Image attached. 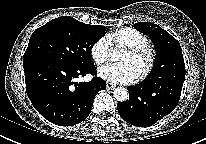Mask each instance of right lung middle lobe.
<instances>
[{"label":"right lung middle lobe","instance_id":"dd1d6c3e","mask_svg":"<svg viewBox=\"0 0 206 144\" xmlns=\"http://www.w3.org/2000/svg\"><path fill=\"white\" fill-rule=\"evenodd\" d=\"M105 29L70 16L58 17L33 32L23 60L42 58L73 67L93 64L91 48Z\"/></svg>","mask_w":206,"mask_h":144}]
</instances>
